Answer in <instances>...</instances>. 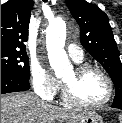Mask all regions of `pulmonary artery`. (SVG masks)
I'll list each match as a JSON object with an SVG mask.
<instances>
[{
	"instance_id": "e3ab8cb5",
	"label": "pulmonary artery",
	"mask_w": 122,
	"mask_h": 123,
	"mask_svg": "<svg viewBox=\"0 0 122 123\" xmlns=\"http://www.w3.org/2000/svg\"><path fill=\"white\" fill-rule=\"evenodd\" d=\"M69 56L75 61L80 62L83 60V50L76 44H69L67 46Z\"/></svg>"
}]
</instances>
